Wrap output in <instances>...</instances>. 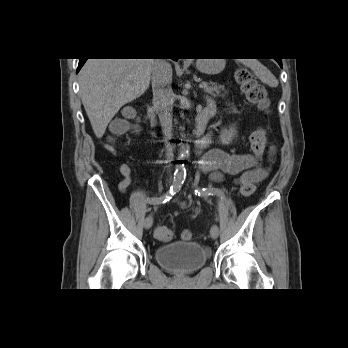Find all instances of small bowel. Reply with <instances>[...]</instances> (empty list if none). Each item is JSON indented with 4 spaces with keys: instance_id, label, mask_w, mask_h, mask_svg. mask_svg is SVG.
Masks as SVG:
<instances>
[{
    "instance_id": "1",
    "label": "small bowel",
    "mask_w": 348,
    "mask_h": 348,
    "mask_svg": "<svg viewBox=\"0 0 348 348\" xmlns=\"http://www.w3.org/2000/svg\"><path fill=\"white\" fill-rule=\"evenodd\" d=\"M208 100L206 106H213ZM270 159H273L274 148L270 149ZM256 160L251 154L229 153L222 149H213L205 153L202 160V170L210 173L215 179L223 175L237 176L235 184H255L263 179L267 171H256L254 169ZM122 180L119 183L120 190L124 191L132 182L131 168L127 163L120 166Z\"/></svg>"
}]
</instances>
